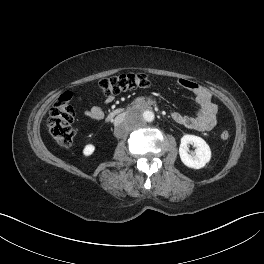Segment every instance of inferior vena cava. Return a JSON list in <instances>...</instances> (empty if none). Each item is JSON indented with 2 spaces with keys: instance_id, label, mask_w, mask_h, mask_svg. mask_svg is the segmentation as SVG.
<instances>
[{
  "instance_id": "602c4592",
  "label": "inferior vena cava",
  "mask_w": 264,
  "mask_h": 264,
  "mask_svg": "<svg viewBox=\"0 0 264 264\" xmlns=\"http://www.w3.org/2000/svg\"><path fill=\"white\" fill-rule=\"evenodd\" d=\"M123 117H121V116H116V117H114V119H113V124H114V126L115 125H117V124H120V123H123Z\"/></svg>"
}]
</instances>
